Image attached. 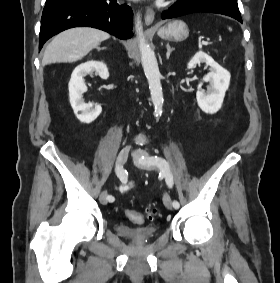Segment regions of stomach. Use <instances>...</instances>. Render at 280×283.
Masks as SVG:
<instances>
[{"label":"stomach","instance_id":"obj_1","mask_svg":"<svg viewBox=\"0 0 280 283\" xmlns=\"http://www.w3.org/2000/svg\"><path fill=\"white\" fill-rule=\"evenodd\" d=\"M157 34L162 39L178 42L189 36V29L182 20H173L160 27Z\"/></svg>","mask_w":280,"mask_h":283}]
</instances>
